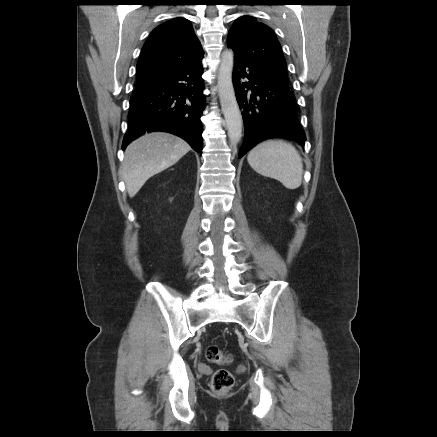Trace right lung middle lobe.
Segmentation results:
<instances>
[{
    "mask_svg": "<svg viewBox=\"0 0 437 437\" xmlns=\"http://www.w3.org/2000/svg\"><path fill=\"white\" fill-rule=\"evenodd\" d=\"M147 84H149V83H137V85H136V88H135V89H140V88H142V87L146 86Z\"/></svg>",
    "mask_w": 437,
    "mask_h": 437,
    "instance_id": "right-lung-middle-lobe-1",
    "label": "right lung middle lobe"
}]
</instances>
